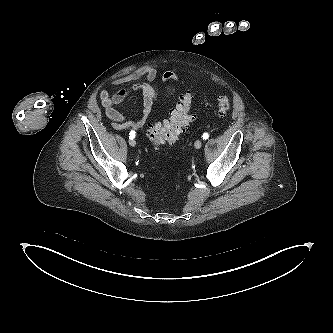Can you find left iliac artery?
Instances as JSON below:
<instances>
[{
	"instance_id": "1",
	"label": "left iliac artery",
	"mask_w": 333,
	"mask_h": 333,
	"mask_svg": "<svg viewBox=\"0 0 333 333\" xmlns=\"http://www.w3.org/2000/svg\"><path fill=\"white\" fill-rule=\"evenodd\" d=\"M202 138L204 140H207L209 138V134L208 133H203Z\"/></svg>"
}]
</instances>
